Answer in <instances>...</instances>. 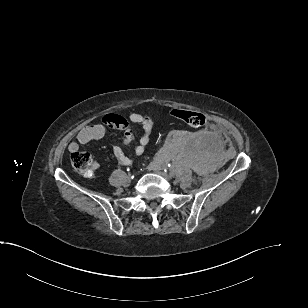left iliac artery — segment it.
Returning <instances> with one entry per match:
<instances>
[{"mask_svg": "<svg viewBox=\"0 0 308 308\" xmlns=\"http://www.w3.org/2000/svg\"><path fill=\"white\" fill-rule=\"evenodd\" d=\"M172 168H173V165L168 164V165H166V166L164 167V171L166 172L167 169H172Z\"/></svg>", "mask_w": 308, "mask_h": 308, "instance_id": "left-iliac-artery-1", "label": "left iliac artery"}]
</instances>
